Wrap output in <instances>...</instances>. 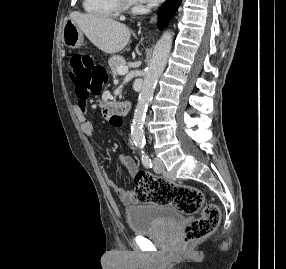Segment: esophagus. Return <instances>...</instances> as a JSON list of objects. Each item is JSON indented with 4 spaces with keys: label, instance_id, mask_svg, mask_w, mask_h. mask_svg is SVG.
I'll return each instance as SVG.
<instances>
[{
    "label": "esophagus",
    "instance_id": "1",
    "mask_svg": "<svg viewBox=\"0 0 286 269\" xmlns=\"http://www.w3.org/2000/svg\"><path fill=\"white\" fill-rule=\"evenodd\" d=\"M156 21H157V15H154L153 17H152V19H151V23L153 24V23H156Z\"/></svg>",
    "mask_w": 286,
    "mask_h": 269
}]
</instances>
